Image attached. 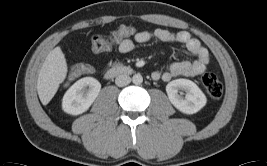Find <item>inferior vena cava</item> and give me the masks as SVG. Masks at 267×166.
<instances>
[{
    "mask_svg": "<svg viewBox=\"0 0 267 166\" xmlns=\"http://www.w3.org/2000/svg\"><path fill=\"white\" fill-rule=\"evenodd\" d=\"M131 82V78L128 75L122 74L116 77L115 84L119 87L128 85Z\"/></svg>",
    "mask_w": 267,
    "mask_h": 166,
    "instance_id": "obj_1",
    "label": "inferior vena cava"
}]
</instances>
